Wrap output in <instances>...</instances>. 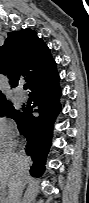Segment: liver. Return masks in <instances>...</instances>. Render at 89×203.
Masks as SVG:
<instances>
[{"instance_id":"1","label":"liver","mask_w":89,"mask_h":203,"mask_svg":"<svg viewBox=\"0 0 89 203\" xmlns=\"http://www.w3.org/2000/svg\"><path fill=\"white\" fill-rule=\"evenodd\" d=\"M32 164L29 157L20 158L18 153L13 151L2 152L0 154V191L1 196H5L6 188L8 191V200L3 203H14L16 191L23 175L28 173ZM25 169V172H24Z\"/></svg>"}]
</instances>
